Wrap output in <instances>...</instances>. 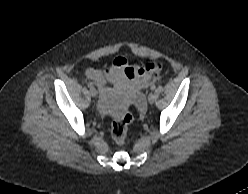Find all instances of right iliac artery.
Returning a JSON list of instances; mask_svg holds the SVG:
<instances>
[{"label":"right iliac artery","mask_w":248,"mask_h":194,"mask_svg":"<svg viewBox=\"0 0 248 194\" xmlns=\"http://www.w3.org/2000/svg\"><path fill=\"white\" fill-rule=\"evenodd\" d=\"M87 86H88L89 88H92V87H93V84H92L91 82H89V83L87 84Z\"/></svg>","instance_id":"1"}]
</instances>
